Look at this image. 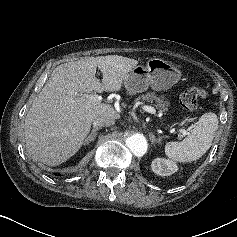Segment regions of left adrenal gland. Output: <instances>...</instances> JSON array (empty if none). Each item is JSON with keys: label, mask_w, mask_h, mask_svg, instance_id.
I'll return each mask as SVG.
<instances>
[{"label": "left adrenal gland", "mask_w": 237, "mask_h": 237, "mask_svg": "<svg viewBox=\"0 0 237 237\" xmlns=\"http://www.w3.org/2000/svg\"><path fill=\"white\" fill-rule=\"evenodd\" d=\"M149 138L151 140V143L154 144V145H155V143H158V144L161 143V137L156 138L155 135L152 132L149 133Z\"/></svg>", "instance_id": "obj_1"}]
</instances>
